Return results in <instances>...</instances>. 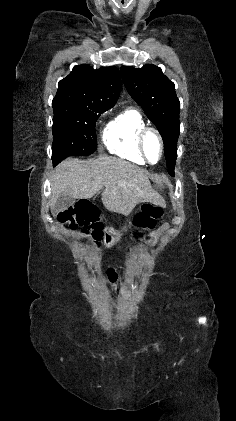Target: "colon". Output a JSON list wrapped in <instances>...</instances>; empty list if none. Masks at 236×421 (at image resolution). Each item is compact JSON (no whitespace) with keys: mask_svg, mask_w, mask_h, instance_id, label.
<instances>
[{"mask_svg":"<svg viewBox=\"0 0 236 421\" xmlns=\"http://www.w3.org/2000/svg\"><path fill=\"white\" fill-rule=\"evenodd\" d=\"M162 215L163 210L161 207L145 203L137 213L135 222L141 230H150L154 228L157 220ZM58 218L60 222L69 225L70 228L82 227L83 232L91 236L95 242L102 236V224L97 219V212L87 204L67 209L61 212ZM108 277L111 281L116 279V274L112 269L108 270Z\"/></svg>","mask_w":236,"mask_h":421,"instance_id":"colon-1","label":"colon"}]
</instances>
